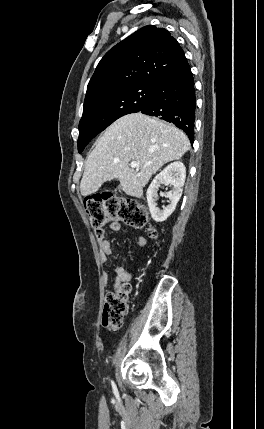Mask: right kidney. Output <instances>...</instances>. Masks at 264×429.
<instances>
[{"mask_svg": "<svg viewBox=\"0 0 264 429\" xmlns=\"http://www.w3.org/2000/svg\"><path fill=\"white\" fill-rule=\"evenodd\" d=\"M186 178V168L180 161L169 164L153 179L147 189V202L152 218L156 222L165 221L175 210L182 195V187ZM161 185H170L172 190L166 193L169 205L160 210L157 207L158 190Z\"/></svg>", "mask_w": 264, "mask_h": 429, "instance_id": "1", "label": "right kidney"}]
</instances>
